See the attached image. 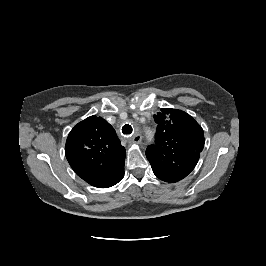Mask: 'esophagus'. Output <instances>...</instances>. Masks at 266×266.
Segmentation results:
<instances>
[{
    "instance_id": "34e87169",
    "label": "esophagus",
    "mask_w": 266,
    "mask_h": 266,
    "mask_svg": "<svg viewBox=\"0 0 266 266\" xmlns=\"http://www.w3.org/2000/svg\"><path fill=\"white\" fill-rule=\"evenodd\" d=\"M142 141V135L137 133L132 137V142L139 144Z\"/></svg>"
}]
</instances>
